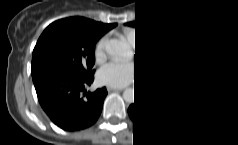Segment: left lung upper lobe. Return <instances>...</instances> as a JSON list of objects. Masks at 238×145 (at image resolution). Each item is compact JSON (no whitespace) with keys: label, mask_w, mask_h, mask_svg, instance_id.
Masks as SVG:
<instances>
[{"label":"left lung upper lobe","mask_w":238,"mask_h":145,"mask_svg":"<svg viewBox=\"0 0 238 145\" xmlns=\"http://www.w3.org/2000/svg\"><path fill=\"white\" fill-rule=\"evenodd\" d=\"M127 25L146 34L155 50L153 63L144 78L156 79L180 73H201L200 50L194 39L182 27L154 15L135 18V21Z\"/></svg>","instance_id":"obj_1"}]
</instances>
